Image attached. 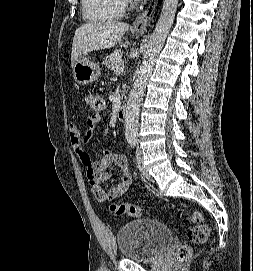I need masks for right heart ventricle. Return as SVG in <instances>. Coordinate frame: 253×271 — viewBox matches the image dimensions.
<instances>
[{
  "instance_id": "obj_1",
  "label": "right heart ventricle",
  "mask_w": 253,
  "mask_h": 271,
  "mask_svg": "<svg viewBox=\"0 0 253 271\" xmlns=\"http://www.w3.org/2000/svg\"><path fill=\"white\" fill-rule=\"evenodd\" d=\"M125 0H81L84 17L90 22H108L119 19Z\"/></svg>"
}]
</instances>
